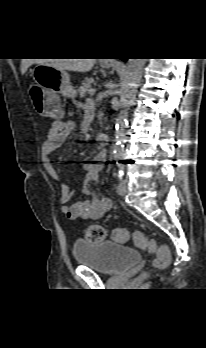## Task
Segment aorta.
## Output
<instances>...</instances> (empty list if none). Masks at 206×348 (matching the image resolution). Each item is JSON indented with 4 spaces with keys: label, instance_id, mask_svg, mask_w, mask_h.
<instances>
[{
    "label": "aorta",
    "instance_id": "1",
    "mask_svg": "<svg viewBox=\"0 0 206 348\" xmlns=\"http://www.w3.org/2000/svg\"><path fill=\"white\" fill-rule=\"evenodd\" d=\"M145 61L146 59H128L119 93L121 109L116 119L115 127V144L113 146L115 158H121L124 155L123 141L126 138L128 110L129 106L135 100L137 89L142 79Z\"/></svg>",
    "mask_w": 206,
    "mask_h": 348
}]
</instances>
